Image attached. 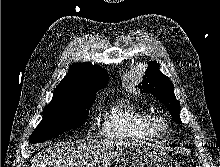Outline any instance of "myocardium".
Masks as SVG:
<instances>
[{
  "instance_id": "f54148a6",
  "label": "myocardium",
  "mask_w": 220,
  "mask_h": 167,
  "mask_svg": "<svg viewBox=\"0 0 220 167\" xmlns=\"http://www.w3.org/2000/svg\"><path fill=\"white\" fill-rule=\"evenodd\" d=\"M146 130L153 140L164 138L169 131L167 121L159 115H150L146 122Z\"/></svg>"
}]
</instances>
